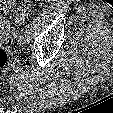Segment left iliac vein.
Wrapping results in <instances>:
<instances>
[{"label": "left iliac vein", "instance_id": "1", "mask_svg": "<svg viewBox=\"0 0 113 113\" xmlns=\"http://www.w3.org/2000/svg\"><path fill=\"white\" fill-rule=\"evenodd\" d=\"M28 42H29V39H28L26 33H24V34H22V35L19 36V38H18V44L20 46H23L24 44H26Z\"/></svg>", "mask_w": 113, "mask_h": 113}]
</instances>
